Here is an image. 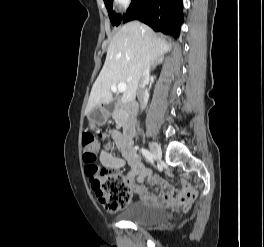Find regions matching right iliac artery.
I'll use <instances>...</instances> for the list:
<instances>
[{
    "instance_id": "1",
    "label": "right iliac artery",
    "mask_w": 264,
    "mask_h": 247,
    "mask_svg": "<svg viewBox=\"0 0 264 247\" xmlns=\"http://www.w3.org/2000/svg\"><path fill=\"white\" fill-rule=\"evenodd\" d=\"M141 153L143 154V156L151 163L153 164V155L150 151H148L145 148L141 149Z\"/></svg>"
}]
</instances>
